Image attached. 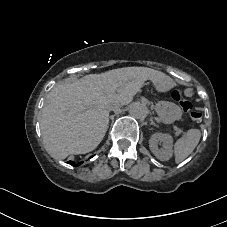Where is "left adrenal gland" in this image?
I'll list each match as a JSON object with an SVG mask.
<instances>
[{"label":"left adrenal gland","mask_w":227,"mask_h":227,"mask_svg":"<svg viewBox=\"0 0 227 227\" xmlns=\"http://www.w3.org/2000/svg\"><path fill=\"white\" fill-rule=\"evenodd\" d=\"M150 121H151V123H150L151 125L158 127V125L153 121V118H150Z\"/></svg>","instance_id":"left-adrenal-gland-1"}]
</instances>
